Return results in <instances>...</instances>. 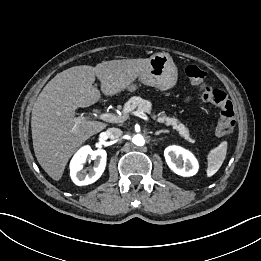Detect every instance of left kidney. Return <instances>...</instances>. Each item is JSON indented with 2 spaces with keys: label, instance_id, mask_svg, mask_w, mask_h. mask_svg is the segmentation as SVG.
Returning <instances> with one entry per match:
<instances>
[{
  "label": "left kidney",
  "instance_id": "left-kidney-1",
  "mask_svg": "<svg viewBox=\"0 0 261 261\" xmlns=\"http://www.w3.org/2000/svg\"><path fill=\"white\" fill-rule=\"evenodd\" d=\"M165 160L170 169L183 177H190L198 172V161L194 155L179 146H169L164 151Z\"/></svg>",
  "mask_w": 261,
  "mask_h": 261
}]
</instances>
